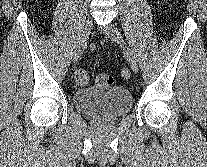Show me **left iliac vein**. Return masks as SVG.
I'll return each mask as SVG.
<instances>
[{
  "instance_id": "left-iliac-vein-1",
  "label": "left iliac vein",
  "mask_w": 207,
  "mask_h": 167,
  "mask_svg": "<svg viewBox=\"0 0 207 167\" xmlns=\"http://www.w3.org/2000/svg\"><path fill=\"white\" fill-rule=\"evenodd\" d=\"M105 32L112 41H114L115 43L119 44L122 47V49L124 51V55H125L127 61L129 62L131 69L135 73H137L138 72L137 60H136L133 52L131 51V49L125 43L119 30L113 24H110L106 27Z\"/></svg>"
}]
</instances>
